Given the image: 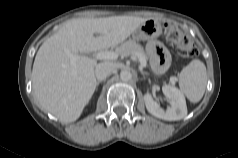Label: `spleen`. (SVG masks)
<instances>
[{
	"label": "spleen",
	"instance_id": "obj_1",
	"mask_svg": "<svg viewBox=\"0 0 238 158\" xmlns=\"http://www.w3.org/2000/svg\"><path fill=\"white\" fill-rule=\"evenodd\" d=\"M206 83V66L198 59L192 60L179 74L180 90L193 103L202 99Z\"/></svg>",
	"mask_w": 238,
	"mask_h": 158
}]
</instances>
